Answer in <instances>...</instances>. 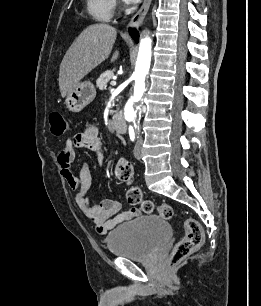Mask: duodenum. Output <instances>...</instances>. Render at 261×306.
Returning <instances> with one entry per match:
<instances>
[{"label": "duodenum", "mask_w": 261, "mask_h": 306, "mask_svg": "<svg viewBox=\"0 0 261 306\" xmlns=\"http://www.w3.org/2000/svg\"><path fill=\"white\" fill-rule=\"evenodd\" d=\"M112 125L120 133H125L127 130V124L126 121L122 115L121 112L119 111H114L112 113Z\"/></svg>", "instance_id": "duodenum-1"}]
</instances>
